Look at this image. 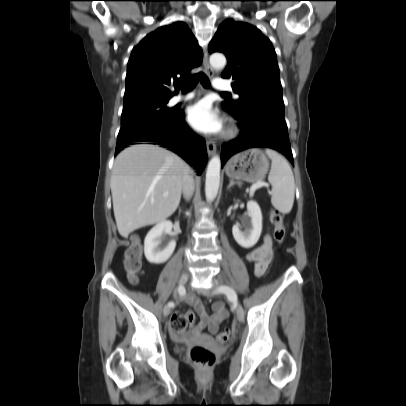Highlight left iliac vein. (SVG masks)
I'll use <instances>...</instances> for the list:
<instances>
[{
	"mask_svg": "<svg viewBox=\"0 0 406 406\" xmlns=\"http://www.w3.org/2000/svg\"><path fill=\"white\" fill-rule=\"evenodd\" d=\"M218 287V284L215 285L214 289ZM210 295L213 296L214 293L213 291L210 292ZM235 304V312H236V317L238 321L242 322L244 319V310L241 304L237 301V299L233 300Z\"/></svg>",
	"mask_w": 406,
	"mask_h": 406,
	"instance_id": "left-iliac-vein-1",
	"label": "left iliac vein"
}]
</instances>
